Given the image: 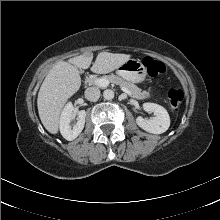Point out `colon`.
Listing matches in <instances>:
<instances>
[{"instance_id":"1","label":"colon","mask_w":220,"mask_h":220,"mask_svg":"<svg viewBox=\"0 0 220 220\" xmlns=\"http://www.w3.org/2000/svg\"><path fill=\"white\" fill-rule=\"evenodd\" d=\"M143 64L147 69L149 76L156 77L165 71L164 64L150 56L143 59ZM168 102L172 109H178L184 99V93L181 89H170L168 91Z\"/></svg>"}]
</instances>
